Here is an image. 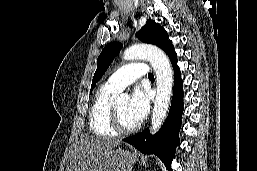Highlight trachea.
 Returning a JSON list of instances; mask_svg holds the SVG:
<instances>
[{"mask_svg": "<svg viewBox=\"0 0 257 171\" xmlns=\"http://www.w3.org/2000/svg\"><path fill=\"white\" fill-rule=\"evenodd\" d=\"M148 78H149V79H154L153 73H149V74H148Z\"/></svg>", "mask_w": 257, "mask_h": 171, "instance_id": "1", "label": "trachea"}]
</instances>
